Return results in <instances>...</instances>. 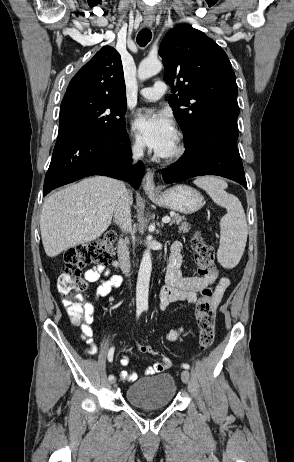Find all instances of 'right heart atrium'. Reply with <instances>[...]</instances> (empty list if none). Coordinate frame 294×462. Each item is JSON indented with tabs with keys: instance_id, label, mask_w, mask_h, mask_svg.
<instances>
[{
	"instance_id": "d8ad5b80",
	"label": "right heart atrium",
	"mask_w": 294,
	"mask_h": 462,
	"mask_svg": "<svg viewBox=\"0 0 294 462\" xmlns=\"http://www.w3.org/2000/svg\"><path fill=\"white\" fill-rule=\"evenodd\" d=\"M131 149L135 154H141L144 149V144L138 135L131 137Z\"/></svg>"
}]
</instances>
